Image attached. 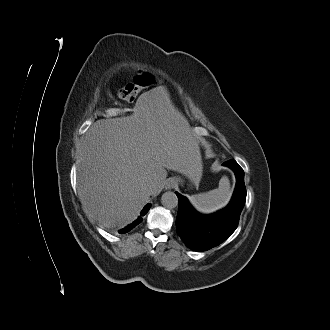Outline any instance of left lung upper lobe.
Masks as SVG:
<instances>
[{
  "instance_id": "1",
  "label": "left lung upper lobe",
  "mask_w": 330,
  "mask_h": 330,
  "mask_svg": "<svg viewBox=\"0 0 330 330\" xmlns=\"http://www.w3.org/2000/svg\"><path fill=\"white\" fill-rule=\"evenodd\" d=\"M245 200H246V197L244 196L243 199H242L243 203H245Z\"/></svg>"
}]
</instances>
